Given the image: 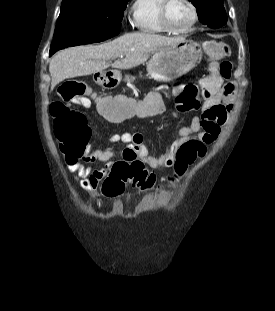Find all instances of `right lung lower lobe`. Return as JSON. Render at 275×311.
<instances>
[{
    "instance_id": "right-lung-lower-lobe-1",
    "label": "right lung lower lobe",
    "mask_w": 275,
    "mask_h": 311,
    "mask_svg": "<svg viewBox=\"0 0 275 311\" xmlns=\"http://www.w3.org/2000/svg\"><path fill=\"white\" fill-rule=\"evenodd\" d=\"M120 27H121V23L119 24V27L116 28L115 31H113V32H111V33H109V34H105L104 37L101 38V40L103 41V40L109 39V38H111V37H113V36L119 34V32H120Z\"/></svg>"
}]
</instances>
